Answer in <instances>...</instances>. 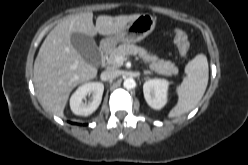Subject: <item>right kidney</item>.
Returning <instances> with one entry per match:
<instances>
[{
    "label": "right kidney",
    "mask_w": 248,
    "mask_h": 165,
    "mask_svg": "<svg viewBox=\"0 0 248 165\" xmlns=\"http://www.w3.org/2000/svg\"><path fill=\"white\" fill-rule=\"evenodd\" d=\"M104 85L100 82H88L78 87L70 98V108L75 115L89 116L100 105ZM92 93V100L88 103L86 100L87 94Z\"/></svg>",
    "instance_id": "ca27d5eb"
}]
</instances>
